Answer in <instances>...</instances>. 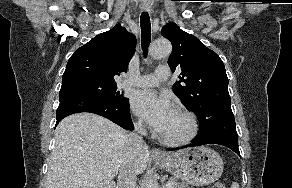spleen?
<instances>
[{
	"label": "spleen",
	"mask_w": 292,
	"mask_h": 188,
	"mask_svg": "<svg viewBox=\"0 0 292 188\" xmlns=\"http://www.w3.org/2000/svg\"><path fill=\"white\" fill-rule=\"evenodd\" d=\"M231 188H239V184L237 182L232 183Z\"/></svg>",
	"instance_id": "1"
}]
</instances>
